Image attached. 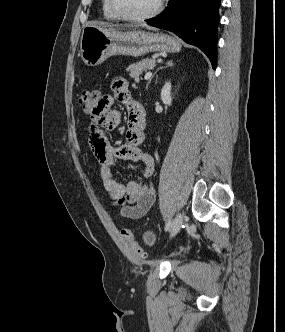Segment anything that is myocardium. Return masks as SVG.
<instances>
[{
	"mask_svg": "<svg viewBox=\"0 0 285 332\" xmlns=\"http://www.w3.org/2000/svg\"><path fill=\"white\" fill-rule=\"evenodd\" d=\"M164 2H165V0H159L155 9L148 14L141 15V16H129L120 11L115 0H108L109 6H110V9L112 10V12L119 19L129 21V22H143V21H147V20H150V19L158 16L163 9Z\"/></svg>",
	"mask_w": 285,
	"mask_h": 332,
	"instance_id": "obj_1",
	"label": "myocardium"
}]
</instances>
